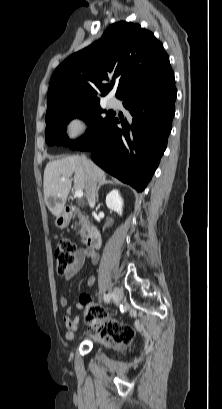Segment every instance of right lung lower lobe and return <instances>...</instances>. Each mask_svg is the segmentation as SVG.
Segmentation results:
<instances>
[{
    "label": "right lung lower lobe",
    "mask_w": 222,
    "mask_h": 409,
    "mask_svg": "<svg viewBox=\"0 0 222 409\" xmlns=\"http://www.w3.org/2000/svg\"><path fill=\"white\" fill-rule=\"evenodd\" d=\"M159 89L123 99L130 117L111 120L101 140L79 150L94 151L93 161L109 174L145 189L162 157L172 129L177 91L173 72L160 75Z\"/></svg>",
    "instance_id": "right-lung-lower-lobe-1"
}]
</instances>
